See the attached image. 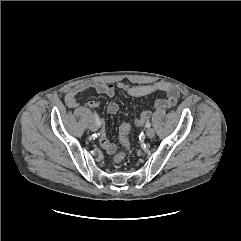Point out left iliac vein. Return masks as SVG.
I'll list each match as a JSON object with an SVG mask.
<instances>
[{
    "label": "left iliac vein",
    "mask_w": 241,
    "mask_h": 241,
    "mask_svg": "<svg viewBox=\"0 0 241 241\" xmlns=\"http://www.w3.org/2000/svg\"><path fill=\"white\" fill-rule=\"evenodd\" d=\"M154 135H155L154 129L148 128V129L146 130V136H147L148 138H153Z\"/></svg>",
    "instance_id": "1"
}]
</instances>
